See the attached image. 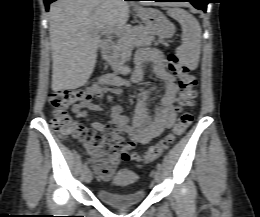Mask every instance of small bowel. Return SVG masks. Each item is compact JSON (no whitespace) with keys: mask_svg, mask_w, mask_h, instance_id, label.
<instances>
[{"mask_svg":"<svg viewBox=\"0 0 260 217\" xmlns=\"http://www.w3.org/2000/svg\"><path fill=\"white\" fill-rule=\"evenodd\" d=\"M137 66L131 73L128 80H124L116 75H105L99 83L88 89L91 96L104 97L112 104L111 120L107 124L99 122H87L90 128L104 131L109 134L117 146L123 144V134L130 137L128 147L144 145L158 137L165 129L173 127L175 123V103L178 97L179 86L173 75L165 69V58L163 54L155 49H142L136 57ZM151 63L153 72L165 86L164 94L160 100L159 106L153 114L147 110V104L154 93V87L139 93L137 105L132 120L123 114V107L115 104L112 93L118 92L117 87L139 82L143 77V65ZM73 112L78 118L86 119V110H101V107L92 101H87L81 106L73 107ZM115 163L119 156L114 157Z\"/></svg>","mask_w":260,"mask_h":217,"instance_id":"c3829d8e","label":"small bowel"}]
</instances>
